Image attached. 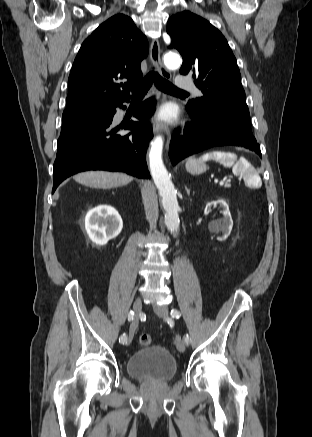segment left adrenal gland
<instances>
[{
	"label": "left adrenal gland",
	"instance_id": "obj_1",
	"mask_svg": "<svg viewBox=\"0 0 312 437\" xmlns=\"http://www.w3.org/2000/svg\"><path fill=\"white\" fill-rule=\"evenodd\" d=\"M185 189L187 191V194L189 195L190 194V190L187 187H185Z\"/></svg>",
	"mask_w": 312,
	"mask_h": 437
}]
</instances>
